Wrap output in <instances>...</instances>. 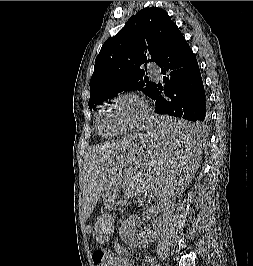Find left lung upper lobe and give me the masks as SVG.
I'll return each mask as SVG.
<instances>
[{
	"instance_id": "left-lung-upper-lobe-1",
	"label": "left lung upper lobe",
	"mask_w": 253,
	"mask_h": 266,
	"mask_svg": "<svg viewBox=\"0 0 253 266\" xmlns=\"http://www.w3.org/2000/svg\"><path fill=\"white\" fill-rule=\"evenodd\" d=\"M175 27L164 10L145 8L108 39L95 60L90 110L122 91L140 90L153 98L155 83L145 76L146 64L157 63Z\"/></svg>"
}]
</instances>
